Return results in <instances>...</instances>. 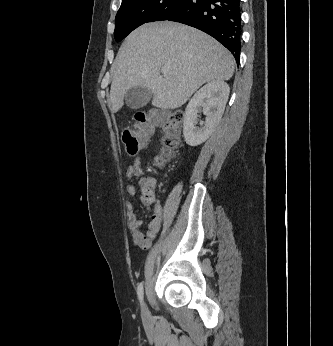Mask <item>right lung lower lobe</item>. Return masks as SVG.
<instances>
[{
    "label": "right lung lower lobe",
    "mask_w": 333,
    "mask_h": 346,
    "mask_svg": "<svg viewBox=\"0 0 333 346\" xmlns=\"http://www.w3.org/2000/svg\"><path fill=\"white\" fill-rule=\"evenodd\" d=\"M165 20L180 22L211 35L239 63L241 48L240 0H184Z\"/></svg>",
    "instance_id": "right-lung-lower-lobe-1"
}]
</instances>
